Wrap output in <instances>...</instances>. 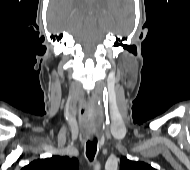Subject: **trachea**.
I'll return each mask as SVG.
<instances>
[{
  "label": "trachea",
  "instance_id": "1",
  "mask_svg": "<svg viewBox=\"0 0 190 170\" xmlns=\"http://www.w3.org/2000/svg\"><path fill=\"white\" fill-rule=\"evenodd\" d=\"M96 151H97V139H93L92 141L89 140L86 143V156L90 161H93Z\"/></svg>",
  "mask_w": 190,
  "mask_h": 170
}]
</instances>
